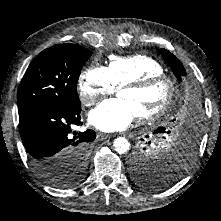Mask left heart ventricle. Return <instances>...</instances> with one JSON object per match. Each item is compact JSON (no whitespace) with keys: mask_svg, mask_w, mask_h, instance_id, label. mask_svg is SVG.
<instances>
[{"mask_svg":"<svg viewBox=\"0 0 221 221\" xmlns=\"http://www.w3.org/2000/svg\"><path fill=\"white\" fill-rule=\"evenodd\" d=\"M169 96V86L159 82L141 91L121 90L118 97L125 100L136 117L154 113L160 109Z\"/></svg>","mask_w":221,"mask_h":221,"instance_id":"obj_1","label":"left heart ventricle"}]
</instances>
